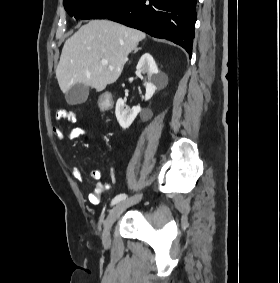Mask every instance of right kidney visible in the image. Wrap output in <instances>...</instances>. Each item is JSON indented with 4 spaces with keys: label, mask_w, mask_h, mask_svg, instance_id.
<instances>
[{
    "label": "right kidney",
    "mask_w": 280,
    "mask_h": 283,
    "mask_svg": "<svg viewBox=\"0 0 280 283\" xmlns=\"http://www.w3.org/2000/svg\"><path fill=\"white\" fill-rule=\"evenodd\" d=\"M142 74H147L148 77L145 100H149L157 90L158 86L166 82L167 78L164 74L159 73L157 65L149 53L143 54L136 66V75L143 80L144 77ZM140 111V106L128 109L127 107L125 108L123 99L120 98L117 100L115 114L119 125L123 129L130 127Z\"/></svg>",
    "instance_id": "ca27d5eb"
}]
</instances>
